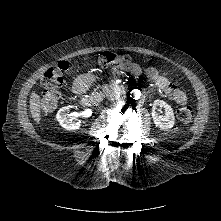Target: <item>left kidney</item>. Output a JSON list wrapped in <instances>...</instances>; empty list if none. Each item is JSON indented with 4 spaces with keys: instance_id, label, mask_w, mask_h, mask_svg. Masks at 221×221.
<instances>
[{
    "instance_id": "1",
    "label": "left kidney",
    "mask_w": 221,
    "mask_h": 221,
    "mask_svg": "<svg viewBox=\"0 0 221 221\" xmlns=\"http://www.w3.org/2000/svg\"><path fill=\"white\" fill-rule=\"evenodd\" d=\"M153 105L154 109L156 106H160L165 110V116H158L155 111L152 112L155 125L161 130L171 129L175 124V117L171 106L163 100H155Z\"/></svg>"
}]
</instances>
